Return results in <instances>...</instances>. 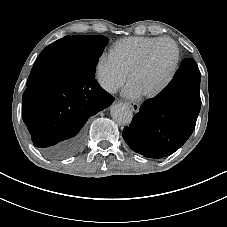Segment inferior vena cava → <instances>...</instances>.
<instances>
[{"mask_svg": "<svg viewBox=\"0 0 227 227\" xmlns=\"http://www.w3.org/2000/svg\"><path fill=\"white\" fill-rule=\"evenodd\" d=\"M101 86L109 93L115 94L117 92V86L110 82L102 83Z\"/></svg>", "mask_w": 227, "mask_h": 227, "instance_id": "obj_1", "label": "inferior vena cava"}]
</instances>
